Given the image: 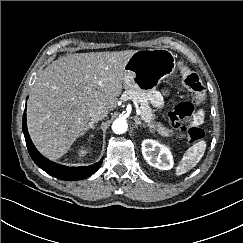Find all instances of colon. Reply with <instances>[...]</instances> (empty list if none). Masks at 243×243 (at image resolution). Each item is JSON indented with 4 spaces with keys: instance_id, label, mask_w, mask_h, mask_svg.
<instances>
[{
    "instance_id": "5ec220e1",
    "label": "colon",
    "mask_w": 243,
    "mask_h": 243,
    "mask_svg": "<svg viewBox=\"0 0 243 243\" xmlns=\"http://www.w3.org/2000/svg\"><path fill=\"white\" fill-rule=\"evenodd\" d=\"M179 70L182 76V83L191 92L193 102H181L177 104L169 113V122L171 127L184 134L189 142H196L204 137L203 130L196 126L186 127L184 123L195 119V105L205 103L207 91L200 76L185 63H179Z\"/></svg>"
}]
</instances>
